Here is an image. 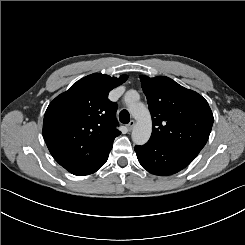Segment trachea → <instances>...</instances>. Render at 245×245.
Segmentation results:
<instances>
[{"label":"trachea","mask_w":245,"mask_h":245,"mask_svg":"<svg viewBox=\"0 0 245 245\" xmlns=\"http://www.w3.org/2000/svg\"><path fill=\"white\" fill-rule=\"evenodd\" d=\"M119 120L121 123L127 124L130 121V114L127 110H122L119 113Z\"/></svg>","instance_id":"trachea-1"}]
</instances>
